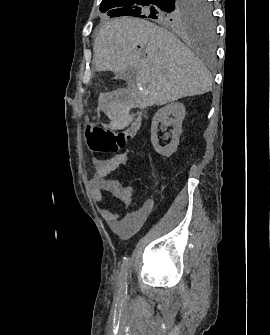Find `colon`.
Listing matches in <instances>:
<instances>
[{
    "label": "colon",
    "mask_w": 270,
    "mask_h": 335,
    "mask_svg": "<svg viewBox=\"0 0 270 335\" xmlns=\"http://www.w3.org/2000/svg\"><path fill=\"white\" fill-rule=\"evenodd\" d=\"M135 135L131 127L120 131H109L99 126H89L86 133L87 146L94 155L115 153Z\"/></svg>",
    "instance_id": "5ec220e1"
}]
</instances>
